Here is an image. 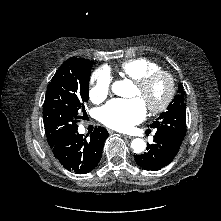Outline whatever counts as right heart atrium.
Here are the masks:
<instances>
[{"mask_svg": "<svg viewBox=\"0 0 221 221\" xmlns=\"http://www.w3.org/2000/svg\"><path fill=\"white\" fill-rule=\"evenodd\" d=\"M112 79L106 69L96 70L91 77L90 99L95 103L104 101L111 91Z\"/></svg>", "mask_w": 221, "mask_h": 221, "instance_id": "d8ad5b80", "label": "right heart atrium"}]
</instances>
